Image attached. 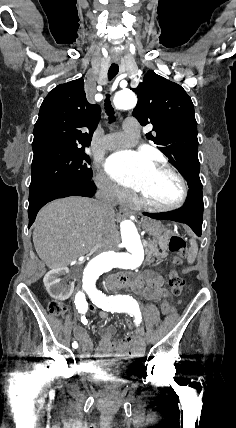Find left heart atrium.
Wrapping results in <instances>:
<instances>
[{
	"instance_id": "obj_1",
	"label": "left heart atrium",
	"mask_w": 236,
	"mask_h": 428,
	"mask_svg": "<svg viewBox=\"0 0 236 428\" xmlns=\"http://www.w3.org/2000/svg\"><path fill=\"white\" fill-rule=\"evenodd\" d=\"M154 167L150 157L134 151L116 153L105 164L106 173L111 178L138 192Z\"/></svg>"
}]
</instances>
